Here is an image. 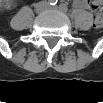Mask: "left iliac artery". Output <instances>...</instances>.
<instances>
[{
    "instance_id": "1",
    "label": "left iliac artery",
    "mask_w": 103,
    "mask_h": 103,
    "mask_svg": "<svg viewBox=\"0 0 103 103\" xmlns=\"http://www.w3.org/2000/svg\"><path fill=\"white\" fill-rule=\"evenodd\" d=\"M59 8H60V10L63 11V12H67V11H68V7H67L66 4H60V5H59Z\"/></svg>"
}]
</instances>
